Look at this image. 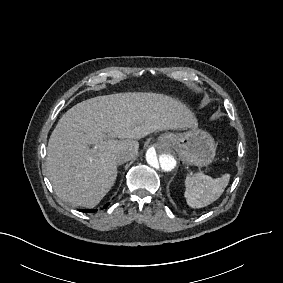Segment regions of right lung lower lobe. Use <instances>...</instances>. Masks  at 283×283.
<instances>
[{
	"mask_svg": "<svg viewBox=\"0 0 283 283\" xmlns=\"http://www.w3.org/2000/svg\"><path fill=\"white\" fill-rule=\"evenodd\" d=\"M109 205V203H107L104 208H107V206ZM97 211V209H92V210H82V212H95Z\"/></svg>",
	"mask_w": 283,
	"mask_h": 283,
	"instance_id": "98d812e1",
	"label": "right lung lower lobe"
}]
</instances>
